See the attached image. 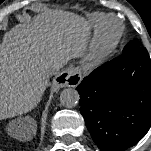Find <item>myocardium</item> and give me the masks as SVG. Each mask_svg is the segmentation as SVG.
<instances>
[{
	"mask_svg": "<svg viewBox=\"0 0 151 151\" xmlns=\"http://www.w3.org/2000/svg\"><path fill=\"white\" fill-rule=\"evenodd\" d=\"M115 21L117 30L113 33L108 31V23ZM123 24L112 15L104 17L100 22L89 49V58L93 61H102L113 53L123 34Z\"/></svg>",
	"mask_w": 151,
	"mask_h": 151,
	"instance_id": "1",
	"label": "myocardium"
}]
</instances>
